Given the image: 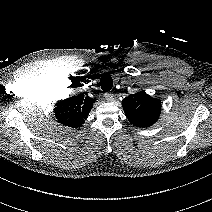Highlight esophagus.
<instances>
[{"mask_svg":"<svg viewBox=\"0 0 212 212\" xmlns=\"http://www.w3.org/2000/svg\"><path fill=\"white\" fill-rule=\"evenodd\" d=\"M104 97L107 101H113L114 100V95L112 93H105Z\"/></svg>","mask_w":212,"mask_h":212,"instance_id":"1","label":"esophagus"}]
</instances>
